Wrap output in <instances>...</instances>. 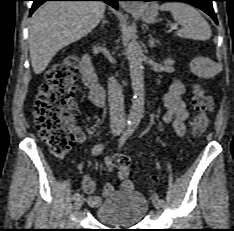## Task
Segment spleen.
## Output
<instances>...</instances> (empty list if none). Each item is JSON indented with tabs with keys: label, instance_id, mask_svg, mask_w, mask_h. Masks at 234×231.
<instances>
[{
	"label": "spleen",
	"instance_id": "1",
	"mask_svg": "<svg viewBox=\"0 0 234 231\" xmlns=\"http://www.w3.org/2000/svg\"><path fill=\"white\" fill-rule=\"evenodd\" d=\"M170 11L173 19L181 25L175 34L186 39L206 41L211 37V28L202 15L191 5L182 2H167L160 6Z\"/></svg>",
	"mask_w": 234,
	"mask_h": 231
}]
</instances>
